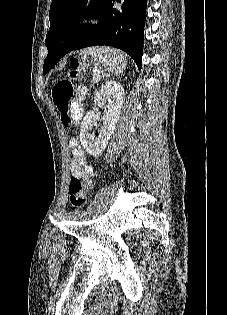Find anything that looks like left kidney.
<instances>
[{
	"instance_id": "obj_1",
	"label": "left kidney",
	"mask_w": 227,
	"mask_h": 315,
	"mask_svg": "<svg viewBox=\"0 0 227 315\" xmlns=\"http://www.w3.org/2000/svg\"><path fill=\"white\" fill-rule=\"evenodd\" d=\"M125 99L123 85L117 81L107 82L95 95L94 107L87 112L81 122L80 141L84 150L92 156H99L106 148L115 124L118 122L120 112ZM104 109L103 125L99 129L98 136L91 134L89 130L93 126L98 109Z\"/></svg>"
}]
</instances>
